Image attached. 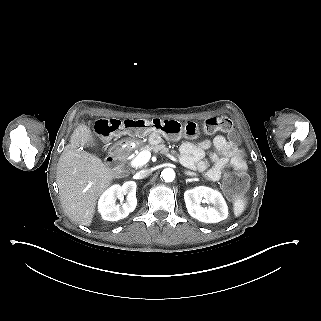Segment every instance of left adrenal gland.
I'll use <instances>...</instances> for the list:
<instances>
[{"instance_id": "1", "label": "left adrenal gland", "mask_w": 321, "mask_h": 321, "mask_svg": "<svg viewBox=\"0 0 321 321\" xmlns=\"http://www.w3.org/2000/svg\"><path fill=\"white\" fill-rule=\"evenodd\" d=\"M184 173L189 176H195V173L191 171H185Z\"/></svg>"}]
</instances>
